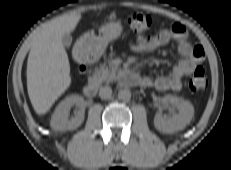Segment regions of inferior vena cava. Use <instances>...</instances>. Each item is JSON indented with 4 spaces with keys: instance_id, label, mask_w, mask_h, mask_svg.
Returning a JSON list of instances; mask_svg holds the SVG:
<instances>
[{
    "instance_id": "602c4592",
    "label": "inferior vena cava",
    "mask_w": 231,
    "mask_h": 170,
    "mask_svg": "<svg viewBox=\"0 0 231 170\" xmlns=\"http://www.w3.org/2000/svg\"><path fill=\"white\" fill-rule=\"evenodd\" d=\"M112 89L109 86L101 87L99 90V96L102 99H108L111 97Z\"/></svg>"
}]
</instances>
